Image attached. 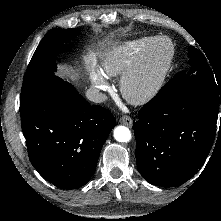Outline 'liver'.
I'll return each mask as SVG.
<instances>
[{
	"mask_svg": "<svg viewBox=\"0 0 221 221\" xmlns=\"http://www.w3.org/2000/svg\"><path fill=\"white\" fill-rule=\"evenodd\" d=\"M58 75L63 78L74 80V74L67 67H60L58 69Z\"/></svg>",
	"mask_w": 221,
	"mask_h": 221,
	"instance_id": "obj_1",
	"label": "liver"
}]
</instances>
